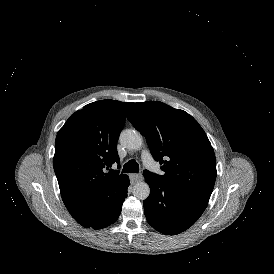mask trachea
I'll return each instance as SVG.
<instances>
[{"instance_id": "obj_1", "label": "trachea", "mask_w": 274, "mask_h": 274, "mask_svg": "<svg viewBox=\"0 0 274 274\" xmlns=\"http://www.w3.org/2000/svg\"><path fill=\"white\" fill-rule=\"evenodd\" d=\"M130 172H134V173H138L139 172V165H138V163L134 159L129 160L123 166L122 173H130Z\"/></svg>"}]
</instances>
